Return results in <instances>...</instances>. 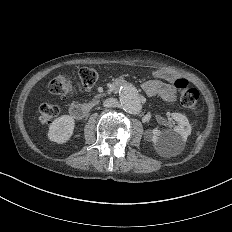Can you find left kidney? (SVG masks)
<instances>
[{
  "label": "left kidney",
  "instance_id": "obj_1",
  "mask_svg": "<svg viewBox=\"0 0 232 232\" xmlns=\"http://www.w3.org/2000/svg\"><path fill=\"white\" fill-rule=\"evenodd\" d=\"M170 116L178 122L173 129L152 130V141L157 152L161 150L172 152L181 151L185 147L187 137L191 133V125L187 117L181 113L172 112Z\"/></svg>",
  "mask_w": 232,
  "mask_h": 232
}]
</instances>
